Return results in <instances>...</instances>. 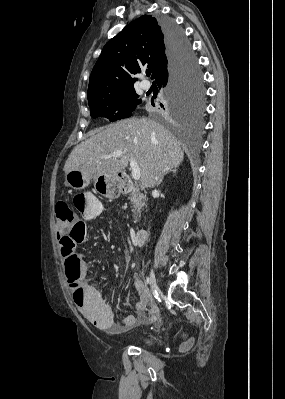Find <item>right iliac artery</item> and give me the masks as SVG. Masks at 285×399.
Wrapping results in <instances>:
<instances>
[{
	"label": "right iliac artery",
	"instance_id": "1",
	"mask_svg": "<svg viewBox=\"0 0 285 399\" xmlns=\"http://www.w3.org/2000/svg\"><path fill=\"white\" fill-rule=\"evenodd\" d=\"M146 284H149L150 283V279H149V277H146Z\"/></svg>",
	"mask_w": 285,
	"mask_h": 399
}]
</instances>
